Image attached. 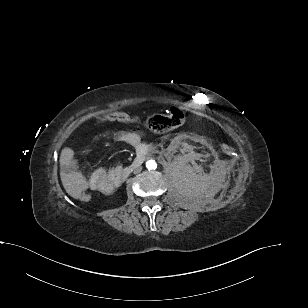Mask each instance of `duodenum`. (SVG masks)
Instances as JSON below:
<instances>
[{
	"instance_id": "duodenum-1",
	"label": "duodenum",
	"mask_w": 308,
	"mask_h": 308,
	"mask_svg": "<svg viewBox=\"0 0 308 308\" xmlns=\"http://www.w3.org/2000/svg\"><path fill=\"white\" fill-rule=\"evenodd\" d=\"M152 149V146L149 143H146L145 145H141L138 148L139 153L137 154V157L134 159V161L127 167H125L120 175H119V182L122 180H125L134 169L140 167L142 163L145 160V156L147 155V152H149Z\"/></svg>"
}]
</instances>
